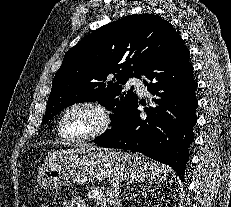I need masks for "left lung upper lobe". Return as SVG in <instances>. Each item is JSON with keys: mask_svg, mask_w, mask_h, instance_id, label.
<instances>
[{"mask_svg": "<svg viewBox=\"0 0 231 207\" xmlns=\"http://www.w3.org/2000/svg\"><path fill=\"white\" fill-rule=\"evenodd\" d=\"M180 37L154 14L129 16L89 34L65 54L42 124L72 104L97 101L114 112L108 132L116 130L138 100L132 90L123 92L122 84L132 76L139 78L148 62Z\"/></svg>", "mask_w": 231, "mask_h": 207, "instance_id": "5c2ea615", "label": "left lung upper lobe"}]
</instances>
